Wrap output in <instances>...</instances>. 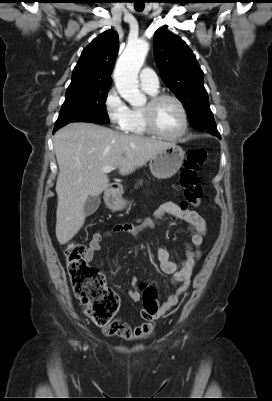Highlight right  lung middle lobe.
Instances as JSON below:
<instances>
[{
  "mask_svg": "<svg viewBox=\"0 0 272 401\" xmlns=\"http://www.w3.org/2000/svg\"><path fill=\"white\" fill-rule=\"evenodd\" d=\"M109 88L104 86L66 93L54 129L70 122L109 123L105 106Z\"/></svg>",
  "mask_w": 272,
  "mask_h": 401,
  "instance_id": "1",
  "label": "right lung middle lobe"
}]
</instances>
